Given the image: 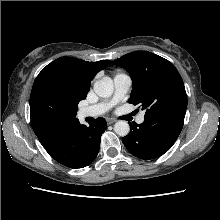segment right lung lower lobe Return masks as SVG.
<instances>
[{
	"label": "right lung lower lobe",
	"instance_id": "right-lung-lower-lobe-1",
	"mask_svg": "<svg viewBox=\"0 0 220 220\" xmlns=\"http://www.w3.org/2000/svg\"><path fill=\"white\" fill-rule=\"evenodd\" d=\"M106 127V120L102 117L90 126L81 125L76 120L44 148L53 159L67 167H86L95 160Z\"/></svg>",
	"mask_w": 220,
	"mask_h": 220
}]
</instances>
